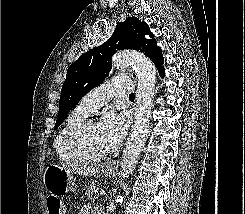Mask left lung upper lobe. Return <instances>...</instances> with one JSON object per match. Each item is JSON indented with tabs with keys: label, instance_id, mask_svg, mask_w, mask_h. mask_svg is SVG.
Returning <instances> with one entry per match:
<instances>
[{
	"label": "left lung upper lobe",
	"instance_id": "obj_1",
	"mask_svg": "<svg viewBox=\"0 0 245 214\" xmlns=\"http://www.w3.org/2000/svg\"><path fill=\"white\" fill-rule=\"evenodd\" d=\"M145 35L154 38L148 25L137 17H129L119 23L111 37L100 46L80 56L67 70L62 86L59 111L55 127L60 126L69 111L91 89L99 86L111 70V58L117 50L134 49L147 55L158 68L164 60L161 49L155 39H145Z\"/></svg>",
	"mask_w": 245,
	"mask_h": 214
}]
</instances>
